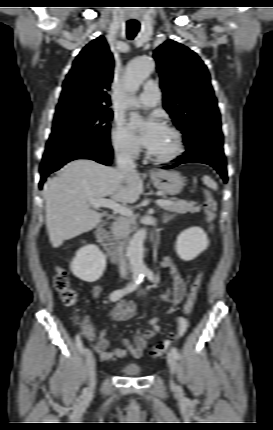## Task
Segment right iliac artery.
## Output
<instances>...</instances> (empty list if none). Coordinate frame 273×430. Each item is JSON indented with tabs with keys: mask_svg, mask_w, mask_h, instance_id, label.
<instances>
[{
	"mask_svg": "<svg viewBox=\"0 0 273 430\" xmlns=\"http://www.w3.org/2000/svg\"><path fill=\"white\" fill-rule=\"evenodd\" d=\"M133 282L131 284H129L127 287L122 288V289H118L113 291L110 294V300L112 302H116L117 300H119L120 298H122L124 295L132 292L133 290H135L140 283L143 281L144 275L142 273L139 272H135L133 275ZM76 346L77 348L84 353L87 349L84 348L82 341L80 340L79 336H76Z\"/></svg>",
	"mask_w": 273,
	"mask_h": 430,
	"instance_id": "obj_1",
	"label": "right iliac artery"
}]
</instances>
